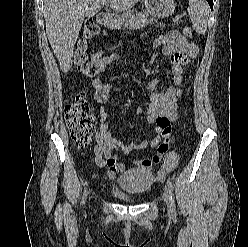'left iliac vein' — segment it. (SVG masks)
<instances>
[{
	"mask_svg": "<svg viewBox=\"0 0 248 247\" xmlns=\"http://www.w3.org/2000/svg\"><path fill=\"white\" fill-rule=\"evenodd\" d=\"M164 201L167 205L168 212L172 213L171 191L169 186H166L164 189Z\"/></svg>",
	"mask_w": 248,
	"mask_h": 247,
	"instance_id": "obj_1",
	"label": "left iliac vein"
}]
</instances>
